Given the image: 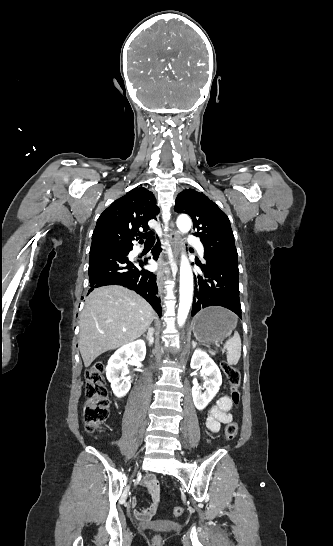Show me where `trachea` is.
Wrapping results in <instances>:
<instances>
[{
	"mask_svg": "<svg viewBox=\"0 0 333 546\" xmlns=\"http://www.w3.org/2000/svg\"><path fill=\"white\" fill-rule=\"evenodd\" d=\"M141 238H145L146 239V242L145 244H148V245H152L155 243V238L152 237L150 234H142L140 235Z\"/></svg>",
	"mask_w": 333,
	"mask_h": 546,
	"instance_id": "obj_1",
	"label": "trachea"
}]
</instances>
